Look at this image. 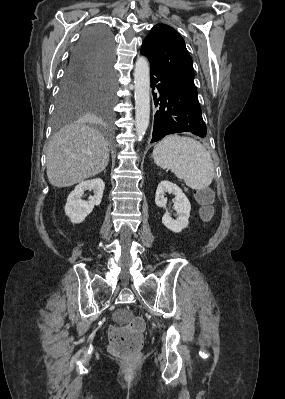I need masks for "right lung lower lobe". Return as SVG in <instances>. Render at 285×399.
<instances>
[{"label": "right lung lower lobe", "instance_id": "1", "mask_svg": "<svg viewBox=\"0 0 285 399\" xmlns=\"http://www.w3.org/2000/svg\"><path fill=\"white\" fill-rule=\"evenodd\" d=\"M114 42L111 31L98 25L86 30L72 52L64 78L85 82L114 80Z\"/></svg>", "mask_w": 285, "mask_h": 399}]
</instances>
